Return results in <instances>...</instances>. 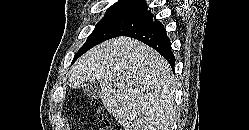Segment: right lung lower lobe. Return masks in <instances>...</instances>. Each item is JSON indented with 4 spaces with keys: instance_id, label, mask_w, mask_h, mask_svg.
Returning <instances> with one entry per match:
<instances>
[{
    "instance_id": "98d812e1",
    "label": "right lung lower lobe",
    "mask_w": 249,
    "mask_h": 130,
    "mask_svg": "<svg viewBox=\"0 0 249 130\" xmlns=\"http://www.w3.org/2000/svg\"><path fill=\"white\" fill-rule=\"evenodd\" d=\"M122 36L135 38L158 51L173 67L175 57L171 51V44L163 25L159 21H152L136 28Z\"/></svg>"
}]
</instances>
